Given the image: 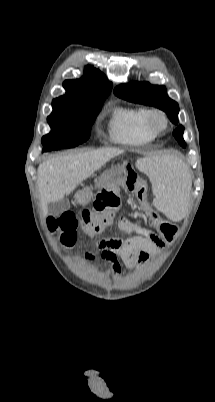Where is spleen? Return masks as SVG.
I'll list each match as a JSON object with an SVG mask.
<instances>
[{"label": "spleen", "instance_id": "3e777b00", "mask_svg": "<svg viewBox=\"0 0 215 402\" xmlns=\"http://www.w3.org/2000/svg\"><path fill=\"white\" fill-rule=\"evenodd\" d=\"M138 168L150 178L156 195L154 210H162L172 220H183L187 213L186 195L191 192L188 178L192 170L174 157H153L137 161Z\"/></svg>", "mask_w": 215, "mask_h": 402}]
</instances>
